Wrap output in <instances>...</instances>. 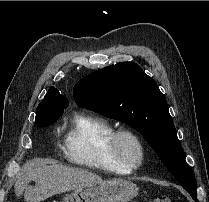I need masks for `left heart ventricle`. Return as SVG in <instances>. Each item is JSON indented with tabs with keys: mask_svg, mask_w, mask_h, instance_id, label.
I'll return each mask as SVG.
<instances>
[{
	"mask_svg": "<svg viewBox=\"0 0 209 202\" xmlns=\"http://www.w3.org/2000/svg\"><path fill=\"white\" fill-rule=\"evenodd\" d=\"M121 148L126 154L130 156H135L137 154V147L135 143L130 139H124L121 143Z\"/></svg>",
	"mask_w": 209,
	"mask_h": 202,
	"instance_id": "obj_1",
	"label": "left heart ventricle"
}]
</instances>
